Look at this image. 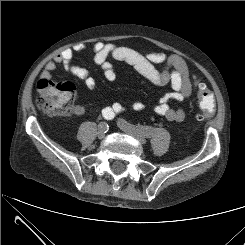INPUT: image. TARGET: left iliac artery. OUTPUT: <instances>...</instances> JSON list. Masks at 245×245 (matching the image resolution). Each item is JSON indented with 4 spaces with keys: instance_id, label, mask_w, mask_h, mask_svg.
<instances>
[{
    "instance_id": "44dca946",
    "label": "left iliac artery",
    "mask_w": 245,
    "mask_h": 245,
    "mask_svg": "<svg viewBox=\"0 0 245 245\" xmlns=\"http://www.w3.org/2000/svg\"><path fill=\"white\" fill-rule=\"evenodd\" d=\"M121 123L131 129L136 130L137 132H139L140 134L146 136V137H151L154 133V129L152 127L149 126H135L133 124L128 123L127 121L121 119Z\"/></svg>"
}]
</instances>
